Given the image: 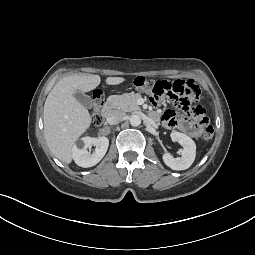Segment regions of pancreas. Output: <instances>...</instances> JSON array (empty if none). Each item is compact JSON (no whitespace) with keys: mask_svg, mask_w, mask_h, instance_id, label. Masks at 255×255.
I'll use <instances>...</instances> for the list:
<instances>
[{"mask_svg":"<svg viewBox=\"0 0 255 255\" xmlns=\"http://www.w3.org/2000/svg\"><path fill=\"white\" fill-rule=\"evenodd\" d=\"M141 95L138 93L124 94V95H112L108 98V103L114 109H119L124 112L138 111L140 107L137 104V99Z\"/></svg>","mask_w":255,"mask_h":255,"instance_id":"obj_1","label":"pancreas"}]
</instances>
